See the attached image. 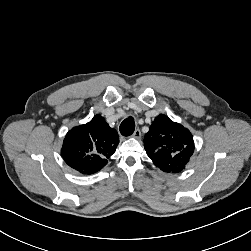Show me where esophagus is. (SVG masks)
<instances>
[{"label": "esophagus", "mask_w": 251, "mask_h": 251, "mask_svg": "<svg viewBox=\"0 0 251 251\" xmlns=\"http://www.w3.org/2000/svg\"><path fill=\"white\" fill-rule=\"evenodd\" d=\"M133 138L140 139L141 138V131L140 129H136L134 133L132 134Z\"/></svg>", "instance_id": "obj_1"}]
</instances>
